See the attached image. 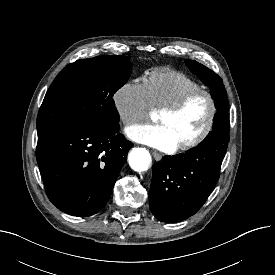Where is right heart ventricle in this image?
<instances>
[{"label":"right heart ventricle","mask_w":275,"mask_h":275,"mask_svg":"<svg viewBox=\"0 0 275 275\" xmlns=\"http://www.w3.org/2000/svg\"><path fill=\"white\" fill-rule=\"evenodd\" d=\"M151 105L155 109L168 106L186 93L201 88V85L187 74L170 69L153 70L144 79Z\"/></svg>","instance_id":"1"}]
</instances>
